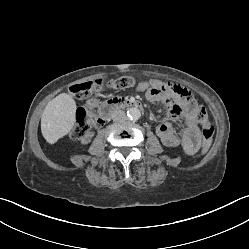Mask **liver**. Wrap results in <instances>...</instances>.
<instances>
[{
    "label": "liver",
    "instance_id": "6515ba94",
    "mask_svg": "<svg viewBox=\"0 0 249 249\" xmlns=\"http://www.w3.org/2000/svg\"><path fill=\"white\" fill-rule=\"evenodd\" d=\"M76 102L66 93L48 102L41 116V132L45 140L54 144L74 127Z\"/></svg>",
    "mask_w": 249,
    "mask_h": 249
}]
</instances>
